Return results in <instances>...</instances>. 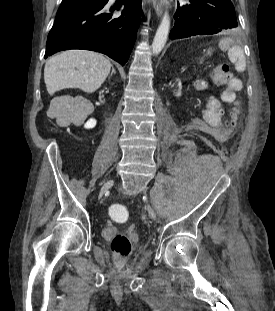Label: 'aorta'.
I'll return each mask as SVG.
<instances>
[{
	"mask_svg": "<svg viewBox=\"0 0 275 311\" xmlns=\"http://www.w3.org/2000/svg\"><path fill=\"white\" fill-rule=\"evenodd\" d=\"M169 29L170 16L169 13L165 11L152 43V53L154 55L159 54L165 46L169 34Z\"/></svg>",
	"mask_w": 275,
	"mask_h": 311,
	"instance_id": "762f6f07",
	"label": "aorta"
}]
</instances>
